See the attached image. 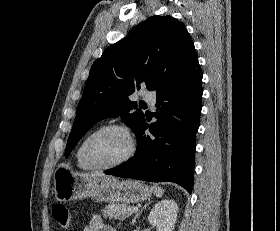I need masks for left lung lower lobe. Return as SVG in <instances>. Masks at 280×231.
<instances>
[{"mask_svg":"<svg viewBox=\"0 0 280 231\" xmlns=\"http://www.w3.org/2000/svg\"><path fill=\"white\" fill-rule=\"evenodd\" d=\"M202 75L198 67L187 78L156 93L159 111L154 113L157 121L150 125L151 134L144 133L148 129L144 116L134 131L135 155L118 167L106 170V174L149 182H174L192 192Z\"/></svg>","mask_w":280,"mask_h":231,"instance_id":"left-lung-lower-lobe-1","label":"left lung lower lobe"}]
</instances>
